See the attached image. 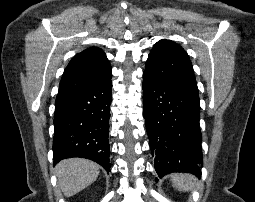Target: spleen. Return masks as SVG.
Returning <instances> with one entry per match:
<instances>
[{"label":"spleen","instance_id":"3e777b00","mask_svg":"<svg viewBox=\"0 0 255 202\" xmlns=\"http://www.w3.org/2000/svg\"><path fill=\"white\" fill-rule=\"evenodd\" d=\"M171 178L173 186L180 191H190L195 188L196 179L190 174H173Z\"/></svg>","mask_w":255,"mask_h":202}]
</instances>
